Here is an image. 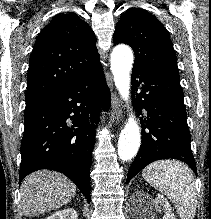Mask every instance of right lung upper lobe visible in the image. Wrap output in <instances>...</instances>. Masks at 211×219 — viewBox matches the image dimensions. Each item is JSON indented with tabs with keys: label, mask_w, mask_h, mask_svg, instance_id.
Listing matches in <instances>:
<instances>
[{
	"label": "right lung upper lobe",
	"mask_w": 211,
	"mask_h": 219,
	"mask_svg": "<svg viewBox=\"0 0 211 219\" xmlns=\"http://www.w3.org/2000/svg\"><path fill=\"white\" fill-rule=\"evenodd\" d=\"M96 36L76 13L55 16L39 33L29 61L26 105L99 67Z\"/></svg>",
	"instance_id": "1"
}]
</instances>
